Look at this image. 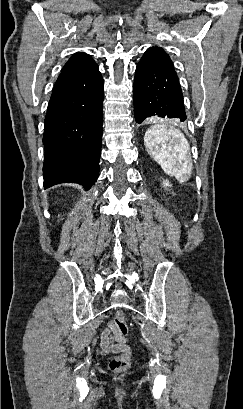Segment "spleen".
<instances>
[{
  "label": "spleen",
  "instance_id": "spleen-1",
  "mask_svg": "<svg viewBox=\"0 0 243 409\" xmlns=\"http://www.w3.org/2000/svg\"><path fill=\"white\" fill-rule=\"evenodd\" d=\"M144 144L165 173L181 183L188 180L193 169L190 145L180 130L158 123L146 131Z\"/></svg>",
  "mask_w": 243,
  "mask_h": 409
}]
</instances>
